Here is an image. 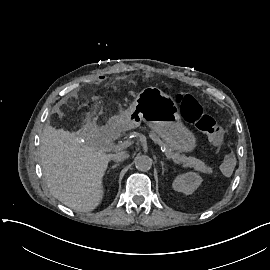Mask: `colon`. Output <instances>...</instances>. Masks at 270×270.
<instances>
[{"instance_id": "obj_1", "label": "colon", "mask_w": 270, "mask_h": 270, "mask_svg": "<svg viewBox=\"0 0 270 270\" xmlns=\"http://www.w3.org/2000/svg\"><path fill=\"white\" fill-rule=\"evenodd\" d=\"M175 102L188 123L207 135L212 145L220 147L224 143V132L216 121L205 114L199 102L189 93L175 94ZM222 170L231 174L235 170V155L226 151L222 155Z\"/></svg>"}]
</instances>
